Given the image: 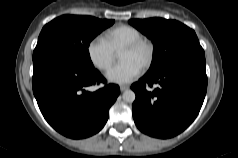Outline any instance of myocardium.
<instances>
[{
    "mask_svg": "<svg viewBox=\"0 0 238 158\" xmlns=\"http://www.w3.org/2000/svg\"><path fill=\"white\" fill-rule=\"evenodd\" d=\"M141 46H145L148 49V57L141 67L143 70H147L148 68L151 67V65L154 61V57H155V47H154L153 42L150 39H147L144 37L136 39V40L126 44L120 50V52L121 51H133V50L140 48Z\"/></svg>",
    "mask_w": 238,
    "mask_h": 158,
    "instance_id": "f54148a6",
    "label": "myocardium"
}]
</instances>
